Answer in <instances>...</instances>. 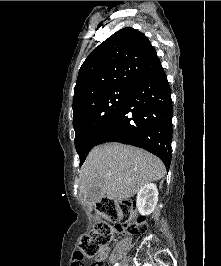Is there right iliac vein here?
I'll list each match as a JSON object with an SVG mask.
<instances>
[{
	"mask_svg": "<svg viewBox=\"0 0 221 266\" xmlns=\"http://www.w3.org/2000/svg\"><path fill=\"white\" fill-rule=\"evenodd\" d=\"M121 266H128V265H127V261H126V259H124V260L122 261Z\"/></svg>",
	"mask_w": 221,
	"mask_h": 266,
	"instance_id": "right-iliac-vein-1",
	"label": "right iliac vein"
}]
</instances>
